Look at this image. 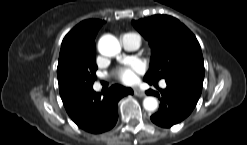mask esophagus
<instances>
[{
	"label": "esophagus",
	"mask_w": 247,
	"mask_h": 145,
	"mask_svg": "<svg viewBox=\"0 0 247 145\" xmlns=\"http://www.w3.org/2000/svg\"><path fill=\"white\" fill-rule=\"evenodd\" d=\"M134 95L135 96H138V97H144L145 96V93L143 91H141L140 89L136 88L134 90Z\"/></svg>",
	"instance_id": "34e87169"
}]
</instances>
